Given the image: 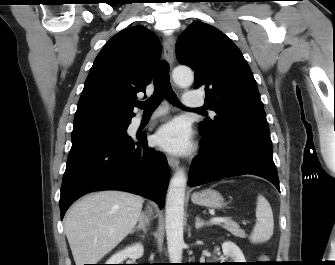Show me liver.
I'll return each mask as SVG.
<instances>
[{
    "instance_id": "6515ba94",
    "label": "liver",
    "mask_w": 335,
    "mask_h": 265,
    "mask_svg": "<svg viewBox=\"0 0 335 265\" xmlns=\"http://www.w3.org/2000/svg\"><path fill=\"white\" fill-rule=\"evenodd\" d=\"M143 198L121 191L87 195L67 212L64 230L76 265L96 264L135 227Z\"/></svg>"
}]
</instances>
